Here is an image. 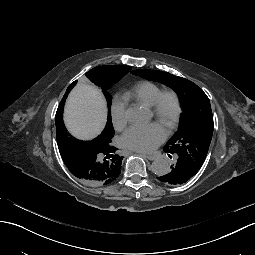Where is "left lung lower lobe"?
<instances>
[{"label":"left lung lower lobe","mask_w":255,"mask_h":255,"mask_svg":"<svg viewBox=\"0 0 255 255\" xmlns=\"http://www.w3.org/2000/svg\"><path fill=\"white\" fill-rule=\"evenodd\" d=\"M196 177L197 168L193 164L180 160V158H175V162L172 164V171L165 176L160 174L158 179L165 184L185 185L190 178L195 179Z\"/></svg>","instance_id":"0a47b994"}]
</instances>
